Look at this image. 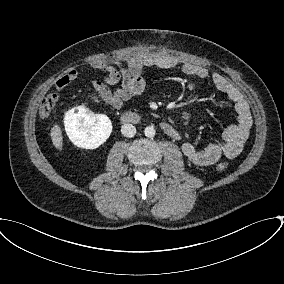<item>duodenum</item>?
<instances>
[{"instance_id": "obj_1", "label": "duodenum", "mask_w": 284, "mask_h": 284, "mask_svg": "<svg viewBox=\"0 0 284 284\" xmlns=\"http://www.w3.org/2000/svg\"><path fill=\"white\" fill-rule=\"evenodd\" d=\"M121 120L124 124H138L142 122L143 118L138 113L125 111L121 115ZM161 130L172 138L177 135V130L168 122L161 123Z\"/></svg>"}]
</instances>
